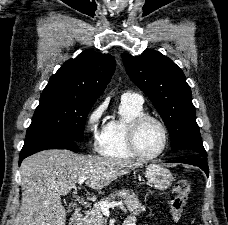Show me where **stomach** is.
Segmentation results:
<instances>
[{"mask_svg": "<svg viewBox=\"0 0 228 225\" xmlns=\"http://www.w3.org/2000/svg\"><path fill=\"white\" fill-rule=\"evenodd\" d=\"M145 177L154 187V189H158V191H166L171 187L174 177L171 175L168 169L159 165V163H153V165H147L145 171Z\"/></svg>", "mask_w": 228, "mask_h": 225, "instance_id": "obj_1", "label": "stomach"}]
</instances>
